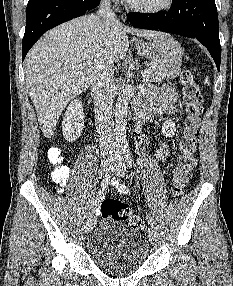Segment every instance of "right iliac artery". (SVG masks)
<instances>
[{
    "mask_svg": "<svg viewBox=\"0 0 233 286\" xmlns=\"http://www.w3.org/2000/svg\"><path fill=\"white\" fill-rule=\"evenodd\" d=\"M120 150L117 151V153H119ZM110 178H111V173H107L103 179H102V182H101V188L97 194V197L96 199L94 200V202L90 205L89 209H88V213H87V218L88 220L90 218L93 217V213L96 209V206H97V202L99 200V197L101 196V194H103L104 190L107 188L108 184H109V181H110Z\"/></svg>",
    "mask_w": 233,
    "mask_h": 286,
    "instance_id": "82829eb1",
    "label": "right iliac artery"
}]
</instances>
